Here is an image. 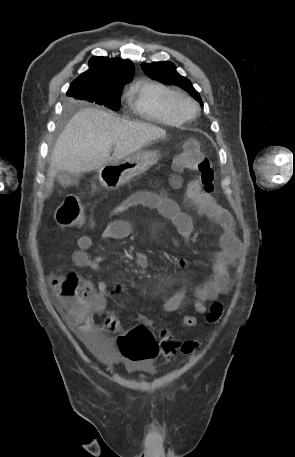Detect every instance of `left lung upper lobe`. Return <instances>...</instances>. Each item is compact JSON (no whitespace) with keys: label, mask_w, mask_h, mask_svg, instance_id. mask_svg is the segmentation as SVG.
<instances>
[{"label":"left lung upper lobe","mask_w":295,"mask_h":457,"mask_svg":"<svg viewBox=\"0 0 295 457\" xmlns=\"http://www.w3.org/2000/svg\"><path fill=\"white\" fill-rule=\"evenodd\" d=\"M141 68L148 77L179 86L198 100H201L199 93L193 88L191 82L177 73L176 67L172 62L142 63ZM201 105L203 106V103Z\"/></svg>","instance_id":"obj_1"}]
</instances>
